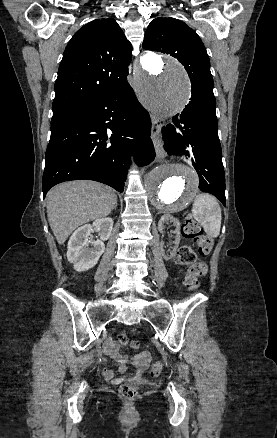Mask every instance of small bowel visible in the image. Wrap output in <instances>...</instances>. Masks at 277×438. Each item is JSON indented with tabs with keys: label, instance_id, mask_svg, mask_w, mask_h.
<instances>
[{
	"label": "small bowel",
	"instance_id": "1",
	"mask_svg": "<svg viewBox=\"0 0 277 438\" xmlns=\"http://www.w3.org/2000/svg\"><path fill=\"white\" fill-rule=\"evenodd\" d=\"M104 347L107 349L104 351V356L110 358L114 357L120 363V371L126 372L128 369V365L126 363V357L118 353V349L113 344V342L111 341L106 342L104 344ZM118 347H122V344H118ZM149 361H150V354L149 352L145 351L131 357L130 365L136 369L137 373H141L146 369ZM102 365H105V362H102ZM104 375L109 380L114 379V374L112 371H106Z\"/></svg>",
	"mask_w": 277,
	"mask_h": 438
}]
</instances>
